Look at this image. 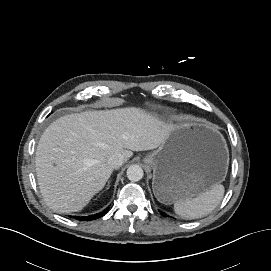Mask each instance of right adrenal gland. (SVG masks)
<instances>
[{
	"label": "right adrenal gland",
	"mask_w": 271,
	"mask_h": 271,
	"mask_svg": "<svg viewBox=\"0 0 271 271\" xmlns=\"http://www.w3.org/2000/svg\"><path fill=\"white\" fill-rule=\"evenodd\" d=\"M109 183H110V182H109ZM109 183H108V187H107V188H109V187H110Z\"/></svg>",
	"instance_id": "1"
}]
</instances>
